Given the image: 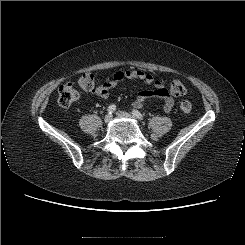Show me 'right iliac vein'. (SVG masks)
Wrapping results in <instances>:
<instances>
[{"mask_svg": "<svg viewBox=\"0 0 245 245\" xmlns=\"http://www.w3.org/2000/svg\"><path fill=\"white\" fill-rule=\"evenodd\" d=\"M112 120V115L111 114H107L104 118V122L105 123H109Z\"/></svg>", "mask_w": 245, "mask_h": 245, "instance_id": "1", "label": "right iliac vein"}]
</instances>
